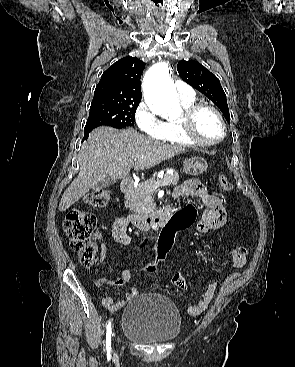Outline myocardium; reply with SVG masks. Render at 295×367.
Segmentation results:
<instances>
[{
	"label": "myocardium",
	"mask_w": 295,
	"mask_h": 367,
	"mask_svg": "<svg viewBox=\"0 0 295 367\" xmlns=\"http://www.w3.org/2000/svg\"><path fill=\"white\" fill-rule=\"evenodd\" d=\"M203 109H208L212 111L216 117L218 118L221 126H222V134L219 138L213 140V141H206L201 139L196 132V119L200 111ZM184 134L186 137L199 146H214L222 142L226 135H227V125L224 120V117L222 113L213 105L200 102V103H194L190 105L189 107L185 108L182 116L178 120Z\"/></svg>",
	"instance_id": "1"
}]
</instances>
